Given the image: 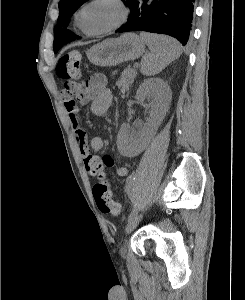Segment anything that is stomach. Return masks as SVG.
<instances>
[{
    "label": "stomach",
    "instance_id": "stomach-1",
    "mask_svg": "<svg viewBox=\"0 0 245 300\" xmlns=\"http://www.w3.org/2000/svg\"><path fill=\"white\" fill-rule=\"evenodd\" d=\"M145 42L135 33H125L118 38L106 39L91 47L87 52L89 61L97 66H116L140 57Z\"/></svg>",
    "mask_w": 245,
    "mask_h": 300
}]
</instances>
